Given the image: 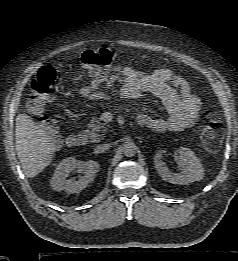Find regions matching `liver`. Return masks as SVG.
Returning a JSON list of instances; mask_svg holds the SVG:
<instances>
[{
	"label": "liver",
	"mask_w": 238,
	"mask_h": 261,
	"mask_svg": "<svg viewBox=\"0 0 238 261\" xmlns=\"http://www.w3.org/2000/svg\"><path fill=\"white\" fill-rule=\"evenodd\" d=\"M15 147L29 178H34L51 164L56 149L54 138L26 114L16 117Z\"/></svg>",
	"instance_id": "obj_1"
}]
</instances>
